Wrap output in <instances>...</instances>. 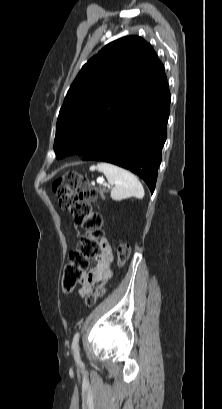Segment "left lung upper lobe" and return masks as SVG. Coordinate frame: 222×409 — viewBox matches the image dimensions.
I'll use <instances>...</instances> for the list:
<instances>
[{"instance_id": "obj_1", "label": "left lung upper lobe", "mask_w": 222, "mask_h": 409, "mask_svg": "<svg viewBox=\"0 0 222 409\" xmlns=\"http://www.w3.org/2000/svg\"><path fill=\"white\" fill-rule=\"evenodd\" d=\"M166 80L163 64L141 37L109 43L82 67L67 92L56 125L57 158L83 155L124 105L146 97Z\"/></svg>"}]
</instances>
